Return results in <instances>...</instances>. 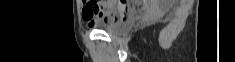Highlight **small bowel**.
I'll use <instances>...</instances> for the list:
<instances>
[{
    "mask_svg": "<svg viewBox=\"0 0 235 62\" xmlns=\"http://www.w3.org/2000/svg\"><path fill=\"white\" fill-rule=\"evenodd\" d=\"M122 4L130 10H133L136 6V3L133 2ZM115 7L116 3L113 2H106L101 7L86 3L82 9V17L86 22H88L89 26H94L100 22H113L119 20L115 18Z\"/></svg>",
    "mask_w": 235,
    "mask_h": 62,
    "instance_id": "obj_1",
    "label": "small bowel"
}]
</instances>
